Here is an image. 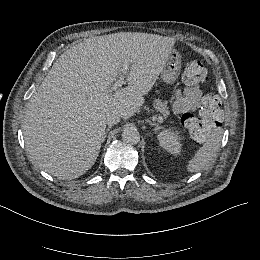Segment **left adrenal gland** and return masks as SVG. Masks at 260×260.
<instances>
[{
  "instance_id": "left-adrenal-gland-1",
  "label": "left adrenal gland",
  "mask_w": 260,
  "mask_h": 260,
  "mask_svg": "<svg viewBox=\"0 0 260 260\" xmlns=\"http://www.w3.org/2000/svg\"><path fill=\"white\" fill-rule=\"evenodd\" d=\"M148 123L152 126H155L154 131H158L159 129H163L162 126H160L158 123H153L151 120H148Z\"/></svg>"
}]
</instances>
